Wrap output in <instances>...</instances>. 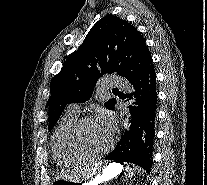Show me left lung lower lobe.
Returning a JSON list of instances; mask_svg holds the SVG:
<instances>
[{
    "mask_svg": "<svg viewBox=\"0 0 207 185\" xmlns=\"http://www.w3.org/2000/svg\"><path fill=\"white\" fill-rule=\"evenodd\" d=\"M129 82L133 87V92L120 98L135 99L134 106H129L131 108V126L129 131L122 135L117 147L105 159L114 160L120 164L130 162L150 173L157 104L154 65L151 64L145 71L131 78Z\"/></svg>",
    "mask_w": 207,
    "mask_h": 185,
    "instance_id": "0a47b994",
    "label": "left lung lower lobe"
}]
</instances>
